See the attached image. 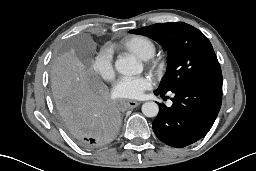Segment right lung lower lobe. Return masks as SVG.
Instances as JSON below:
<instances>
[{
  "mask_svg": "<svg viewBox=\"0 0 256 171\" xmlns=\"http://www.w3.org/2000/svg\"><path fill=\"white\" fill-rule=\"evenodd\" d=\"M55 105L64 127L85 148L109 144L119 131L120 111L103 84L84 87Z\"/></svg>",
  "mask_w": 256,
  "mask_h": 171,
  "instance_id": "98d812e1",
  "label": "right lung lower lobe"
}]
</instances>
